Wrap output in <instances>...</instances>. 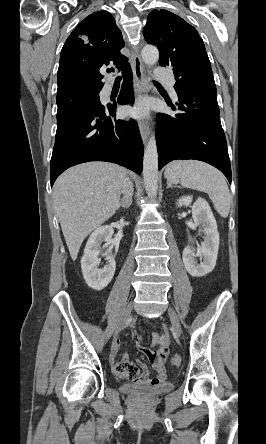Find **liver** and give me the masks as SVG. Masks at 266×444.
I'll return each mask as SVG.
<instances>
[{"instance_id": "6515ba94", "label": "liver", "mask_w": 266, "mask_h": 444, "mask_svg": "<svg viewBox=\"0 0 266 444\" xmlns=\"http://www.w3.org/2000/svg\"><path fill=\"white\" fill-rule=\"evenodd\" d=\"M126 170L108 162H88L60 175L53 187L57 217L73 261L83 240L114 215Z\"/></svg>"}]
</instances>
